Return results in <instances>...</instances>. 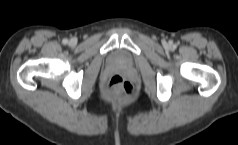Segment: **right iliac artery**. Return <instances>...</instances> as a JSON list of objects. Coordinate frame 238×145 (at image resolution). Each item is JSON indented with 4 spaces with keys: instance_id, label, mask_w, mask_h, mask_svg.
<instances>
[{
    "instance_id": "1",
    "label": "right iliac artery",
    "mask_w": 238,
    "mask_h": 145,
    "mask_svg": "<svg viewBox=\"0 0 238 145\" xmlns=\"http://www.w3.org/2000/svg\"><path fill=\"white\" fill-rule=\"evenodd\" d=\"M62 43H63V44H67V43H68V40H67V39H63Z\"/></svg>"
}]
</instances>
